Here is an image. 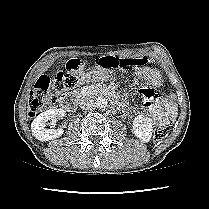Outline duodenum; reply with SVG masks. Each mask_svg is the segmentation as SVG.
<instances>
[{
	"label": "duodenum",
	"mask_w": 209,
	"mask_h": 209,
	"mask_svg": "<svg viewBox=\"0 0 209 209\" xmlns=\"http://www.w3.org/2000/svg\"><path fill=\"white\" fill-rule=\"evenodd\" d=\"M100 94H103V95L109 94L114 99H116L118 102L122 101L121 97L114 92H108L106 90H101ZM81 96H82L81 92H76V93H73L71 95L66 94L61 99V106L63 108H66V109L73 110V109H75V106H76V104H77V102H78V100L80 99Z\"/></svg>",
	"instance_id": "duodenum-1"
}]
</instances>
